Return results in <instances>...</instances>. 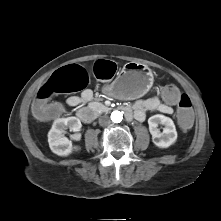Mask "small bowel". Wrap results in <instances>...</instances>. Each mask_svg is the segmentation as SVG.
<instances>
[{"label": "small bowel", "mask_w": 221, "mask_h": 221, "mask_svg": "<svg viewBox=\"0 0 221 221\" xmlns=\"http://www.w3.org/2000/svg\"><path fill=\"white\" fill-rule=\"evenodd\" d=\"M93 91L85 89L80 95L71 96L67 99V105L70 107L81 106L93 99ZM174 106L165 105L160 98L151 97L148 99H140L134 102L133 111L134 118L137 121H144L148 111H157L163 114L170 115L173 113Z\"/></svg>", "instance_id": "c3829d8e"}]
</instances>
